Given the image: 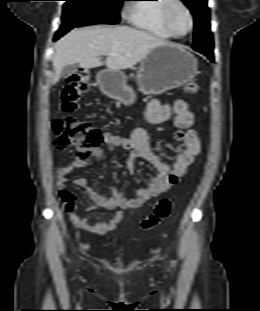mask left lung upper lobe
Listing matches in <instances>:
<instances>
[{
  "label": "left lung upper lobe",
  "mask_w": 260,
  "mask_h": 311,
  "mask_svg": "<svg viewBox=\"0 0 260 311\" xmlns=\"http://www.w3.org/2000/svg\"><path fill=\"white\" fill-rule=\"evenodd\" d=\"M194 15V49L213 50V38L209 25L207 0H182Z\"/></svg>",
  "instance_id": "5c2ea615"
}]
</instances>
